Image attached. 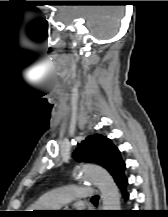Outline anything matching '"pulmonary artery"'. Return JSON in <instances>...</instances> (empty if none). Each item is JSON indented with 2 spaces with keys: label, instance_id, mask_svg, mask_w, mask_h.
<instances>
[{
  "label": "pulmonary artery",
  "instance_id": "obj_1",
  "mask_svg": "<svg viewBox=\"0 0 168 217\" xmlns=\"http://www.w3.org/2000/svg\"><path fill=\"white\" fill-rule=\"evenodd\" d=\"M93 194L92 187L69 185L45 192L40 200L50 209H59L75 200L89 199Z\"/></svg>",
  "mask_w": 168,
  "mask_h": 217
}]
</instances>
